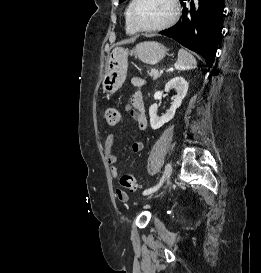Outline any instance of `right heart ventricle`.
Instances as JSON below:
<instances>
[{
  "label": "right heart ventricle",
  "mask_w": 261,
  "mask_h": 273,
  "mask_svg": "<svg viewBox=\"0 0 261 273\" xmlns=\"http://www.w3.org/2000/svg\"><path fill=\"white\" fill-rule=\"evenodd\" d=\"M127 13H128V9L126 11V32L129 34H134V33H136V31L130 26V24L128 22V18H127Z\"/></svg>",
  "instance_id": "right-heart-ventricle-1"
}]
</instances>
